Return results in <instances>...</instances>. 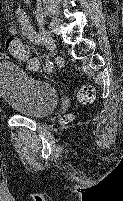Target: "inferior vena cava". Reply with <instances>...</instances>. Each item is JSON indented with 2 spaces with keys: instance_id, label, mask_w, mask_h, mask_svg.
Segmentation results:
<instances>
[{
  "instance_id": "1",
  "label": "inferior vena cava",
  "mask_w": 123,
  "mask_h": 201,
  "mask_svg": "<svg viewBox=\"0 0 123 201\" xmlns=\"http://www.w3.org/2000/svg\"><path fill=\"white\" fill-rule=\"evenodd\" d=\"M25 2H26V3H29V2H30V0H25Z\"/></svg>"
}]
</instances>
